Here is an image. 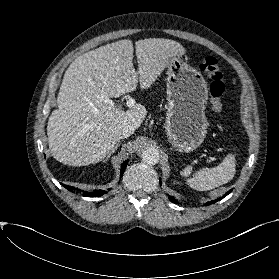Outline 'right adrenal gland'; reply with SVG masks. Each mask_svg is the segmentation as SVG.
<instances>
[{
	"label": "right adrenal gland",
	"instance_id": "right-adrenal-gland-1",
	"mask_svg": "<svg viewBox=\"0 0 279 279\" xmlns=\"http://www.w3.org/2000/svg\"><path fill=\"white\" fill-rule=\"evenodd\" d=\"M119 145H120V142H118V143L115 145L114 149L107 155V157H106V159H105L104 161H107V160L109 159V157L111 156V154L115 152V150L118 148Z\"/></svg>",
	"mask_w": 279,
	"mask_h": 279
}]
</instances>
